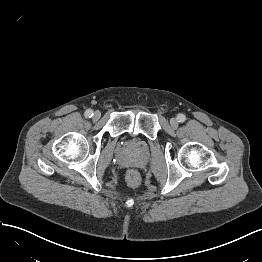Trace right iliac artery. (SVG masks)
Returning a JSON list of instances; mask_svg holds the SVG:
<instances>
[{"mask_svg": "<svg viewBox=\"0 0 262 262\" xmlns=\"http://www.w3.org/2000/svg\"><path fill=\"white\" fill-rule=\"evenodd\" d=\"M93 111L91 109L86 110L85 116L91 118L93 116Z\"/></svg>", "mask_w": 262, "mask_h": 262, "instance_id": "1", "label": "right iliac artery"}]
</instances>
